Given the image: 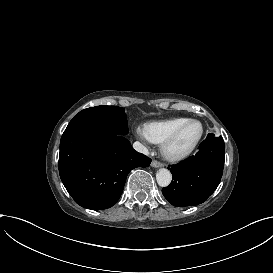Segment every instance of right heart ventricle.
Instances as JSON below:
<instances>
[{
  "instance_id": "right-heart-ventricle-1",
  "label": "right heart ventricle",
  "mask_w": 273,
  "mask_h": 273,
  "mask_svg": "<svg viewBox=\"0 0 273 273\" xmlns=\"http://www.w3.org/2000/svg\"><path fill=\"white\" fill-rule=\"evenodd\" d=\"M189 120L178 117L164 121L151 122L145 126L144 135L147 140L156 144H163L181 124Z\"/></svg>"
}]
</instances>
